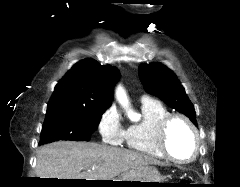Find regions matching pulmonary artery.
<instances>
[{"label":"pulmonary artery","instance_id":"pulmonary-artery-1","mask_svg":"<svg viewBox=\"0 0 240 187\" xmlns=\"http://www.w3.org/2000/svg\"><path fill=\"white\" fill-rule=\"evenodd\" d=\"M149 100H151V99L147 96L142 97V102H146V101H149Z\"/></svg>","mask_w":240,"mask_h":187}]
</instances>
